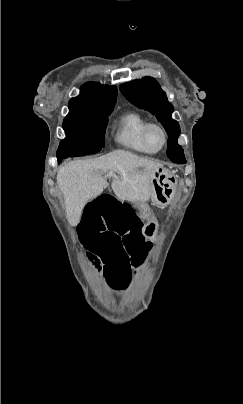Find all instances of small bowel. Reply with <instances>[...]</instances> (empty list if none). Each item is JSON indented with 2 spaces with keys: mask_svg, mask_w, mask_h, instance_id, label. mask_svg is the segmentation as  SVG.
<instances>
[{
  "mask_svg": "<svg viewBox=\"0 0 243 404\" xmlns=\"http://www.w3.org/2000/svg\"><path fill=\"white\" fill-rule=\"evenodd\" d=\"M143 225L133 206L113 192L101 194L84 210L79 236L86 256L115 288H126L150 253Z\"/></svg>",
  "mask_w": 243,
  "mask_h": 404,
  "instance_id": "1",
  "label": "small bowel"
}]
</instances>
